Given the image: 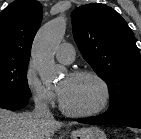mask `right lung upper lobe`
<instances>
[{
	"label": "right lung upper lobe",
	"instance_id": "1",
	"mask_svg": "<svg viewBox=\"0 0 141 139\" xmlns=\"http://www.w3.org/2000/svg\"><path fill=\"white\" fill-rule=\"evenodd\" d=\"M42 20L36 0H16L0 13V60H29L31 45Z\"/></svg>",
	"mask_w": 141,
	"mask_h": 139
}]
</instances>
